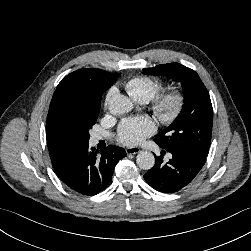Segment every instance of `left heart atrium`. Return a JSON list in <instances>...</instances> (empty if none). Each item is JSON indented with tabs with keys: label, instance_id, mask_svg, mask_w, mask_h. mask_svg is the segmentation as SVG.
I'll list each match as a JSON object with an SVG mask.
<instances>
[{
	"label": "left heart atrium",
	"instance_id": "left-heart-atrium-1",
	"mask_svg": "<svg viewBox=\"0 0 251 251\" xmlns=\"http://www.w3.org/2000/svg\"><path fill=\"white\" fill-rule=\"evenodd\" d=\"M155 131L153 122L148 117L126 119L121 122L117 139L124 145L135 146Z\"/></svg>",
	"mask_w": 251,
	"mask_h": 251
}]
</instances>
